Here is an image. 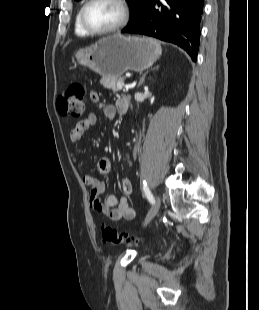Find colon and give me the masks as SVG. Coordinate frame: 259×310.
<instances>
[{"mask_svg":"<svg viewBox=\"0 0 259 310\" xmlns=\"http://www.w3.org/2000/svg\"><path fill=\"white\" fill-rule=\"evenodd\" d=\"M85 89L77 82L70 83L57 97V107L64 115L80 116L84 111ZM103 242L113 245L124 243L139 244L141 239L131 238L126 234L120 233L113 226L104 225L100 231Z\"/></svg>","mask_w":259,"mask_h":310,"instance_id":"5ec220e1","label":"colon"}]
</instances>
